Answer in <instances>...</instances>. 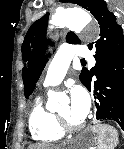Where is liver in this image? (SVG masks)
<instances>
[{"mask_svg":"<svg viewBox=\"0 0 124 149\" xmlns=\"http://www.w3.org/2000/svg\"><path fill=\"white\" fill-rule=\"evenodd\" d=\"M28 149H59V147H52V146L47 145V144L38 143L36 145L29 146Z\"/></svg>","mask_w":124,"mask_h":149,"instance_id":"liver-1","label":"liver"}]
</instances>
